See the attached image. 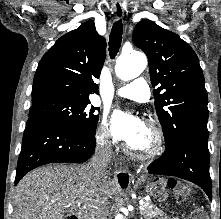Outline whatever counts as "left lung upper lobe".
<instances>
[{
    "label": "left lung upper lobe",
    "instance_id": "obj_1",
    "mask_svg": "<svg viewBox=\"0 0 221 219\" xmlns=\"http://www.w3.org/2000/svg\"><path fill=\"white\" fill-rule=\"evenodd\" d=\"M133 42L148 57L165 146L177 143L186 132L208 136V96L193 49L177 34L148 19L135 27Z\"/></svg>",
    "mask_w": 221,
    "mask_h": 219
}]
</instances>
